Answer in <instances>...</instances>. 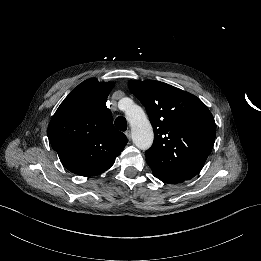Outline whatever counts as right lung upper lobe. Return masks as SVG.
<instances>
[{"mask_svg": "<svg viewBox=\"0 0 261 261\" xmlns=\"http://www.w3.org/2000/svg\"><path fill=\"white\" fill-rule=\"evenodd\" d=\"M113 86V82L85 80L65 98L50 121V143L64 167L75 174L104 172L127 144L106 107Z\"/></svg>", "mask_w": 261, "mask_h": 261, "instance_id": "1", "label": "right lung upper lobe"}]
</instances>
